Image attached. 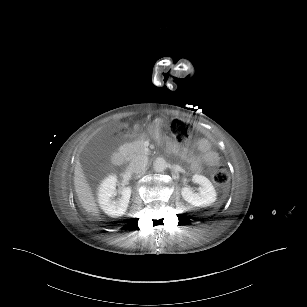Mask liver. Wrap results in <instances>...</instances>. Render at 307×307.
I'll return each mask as SVG.
<instances>
[{
	"instance_id": "obj_1",
	"label": "liver",
	"mask_w": 307,
	"mask_h": 307,
	"mask_svg": "<svg viewBox=\"0 0 307 307\" xmlns=\"http://www.w3.org/2000/svg\"><path fill=\"white\" fill-rule=\"evenodd\" d=\"M74 188L82 208L89 215L98 218L100 216V209L79 160L76 162L74 169Z\"/></svg>"
}]
</instances>
